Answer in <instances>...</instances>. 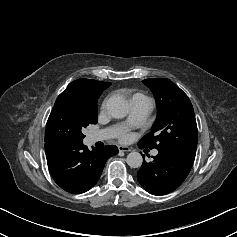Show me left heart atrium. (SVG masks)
<instances>
[{"label":"left heart atrium","mask_w":237,"mask_h":237,"mask_svg":"<svg viewBox=\"0 0 237 237\" xmlns=\"http://www.w3.org/2000/svg\"><path fill=\"white\" fill-rule=\"evenodd\" d=\"M131 139H132V136L130 134H127V133H125L121 136V141L122 142H129Z\"/></svg>","instance_id":"left-heart-atrium-1"}]
</instances>
